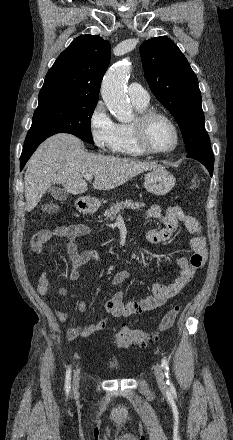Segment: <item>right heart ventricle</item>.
Returning <instances> with one entry per match:
<instances>
[{"label":"right heart ventricle","instance_id":"right-heart-ventricle-1","mask_svg":"<svg viewBox=\"0 0 233 440\" xmlns=\"http://www.w3.org/2000/svg\"><path fill=\"white\" fill-rule=\"evenodd\" d=\"M136 109L141 112L147 109V105H137ZM115 153L128 157H140L145 153L138 147L130 124H118V139L116 143Z\"/></svg>","mask_w":233,"mask_h":440}]
</instances>
